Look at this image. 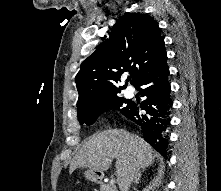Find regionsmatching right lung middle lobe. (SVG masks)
Listing matches in <instances>:
<instances>
[{
	"label": "right lung middle lobe",
	"instance_id": "dd1d6c3e",
	"mask_svg": "<svg viewBox=\"0 0 221 191\" xmlns=\"http://www.w3.org/2000/svg\"><path fill=\"white\" fill-rule=\"evenodd\" d=\"M131 107V103L121 97L115 96L100 102L99 104L87 109L84 112L78 113L79 123L91 125L99 117L101 113L108 109L119 110L126 115Z\"/></svg>",
	"mask_w": 221,
	"mask_h": 191
}]
</instances>
